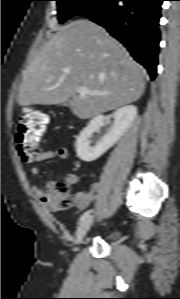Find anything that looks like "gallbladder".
Returning <instances> with one entry per match:
<instances>
[{
  "mask_svg": "<svg viewBox=\"0 0 180 299\" xmlns=\"http://www.w3.org/2000/svg\"><path fill=\"white\" fill-rule=\"evenodd\" d=\"M63 106H68L69 105V101H66L62 104Z\"/></svg>",
  "mask_w": 180,
  "mask_h": 299,
  "instance_id": "1",
  "label": "gallbladder"
}]
</instances>
